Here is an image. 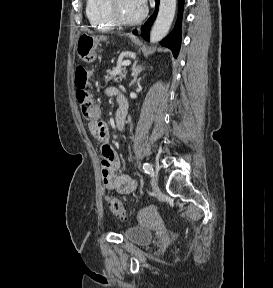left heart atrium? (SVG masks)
I'll list each match as a JSON object with an SVG mask.
<instances>
[{"label": "left heart atrium", "instance_id": "left-heart-atrium-1", "mask_svg": "<svg viewBox=\"0 0 273 288\" xmlns=\"http://www.w3.org/2000/svg\"><path fill=\"white\" fill-rule=\"evenodd\" d=\"M137 1L142 7H144L146 5L147 0H137Z\"/></svg>", "mask_w": 273, "mask_h": 288}]
</instances>
